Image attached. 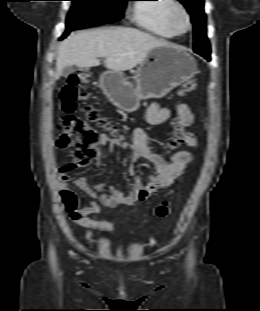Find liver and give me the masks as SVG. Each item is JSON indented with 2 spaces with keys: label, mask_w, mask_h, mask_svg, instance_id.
I'll list each match as a JSON object with an SVG mask.
<instances>
[{
  "label": "liver",
  "mask_w": 260,
  "mask_h": 311,
  "mask_svg": "<svg viewBox=\"0 0 260 311\" xmlns=\"http://www.w3.org/2000/svg\"><path fill=\"white\" fill-rule=\"evenodd\" d=\"M169 44L149 33L129 27L101 28L71 34L58 47L56 78L65 67L105 66L114 71H126L141 64L155 47Z\"/></svg>",
  "instance_id": "6515ba94"
}]
</instances>
